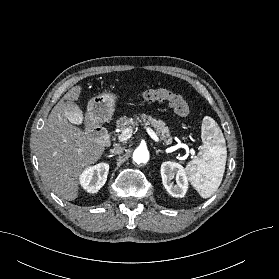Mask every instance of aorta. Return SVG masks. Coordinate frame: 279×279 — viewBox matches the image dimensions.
Returning <instances> with one entry per match:
<instances>
[{
  "mask_svg": "<svg viewBox=\"0 0 279 279\" xmlns=\"http://www.w3.org/2000/svg\"><path fill=\"white\" fill-rule=\"evenodd\" d=\"M133 160L140 163H147L149 160V151L146 147H138L133 153Z\"/></svg>",
  "mask_w": 279,
  "mask_h": 279,
  "instance_id": "1",
  "label": "aorta"
}]
</instances>
